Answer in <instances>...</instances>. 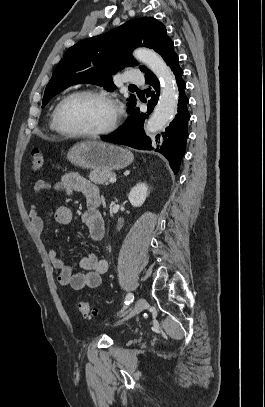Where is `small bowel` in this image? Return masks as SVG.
<instances>
[{"instance_id": "small-bowel-1", "label": "small bowel", "mask_w": 265, "mask_h": 407, "mask_svg": "<svg viewBox=\"0 0 265 407\" xmlns=\"http://www.w3.org/2000/svg\"><path fill=\"white\" fill-rule=\"evenodd\" d=\"M51 189L65 194L82 193L87 200V209L81 217L82 224L87 228L89 237L93 241L103 239L105 234L103 218L100 212L91 205L92 200L100 199L99 189L95 184L76 172H69L64 174L60 181L54 185L44 180H38L33 187L36 196H41L44 191ZM37 209V204L31 205L29 218L34 233L42 236L44 223ZM55 218L60 224H70L73 221V212L67 206H59L56 209ZM48 256L53 267L58 271V282L62 286H69L74 290L98 287L101 284L102 276L108 270L107 260L95 254H88L80 259L79 265L85 271L77 273L73 272L72 267L61 258L56 249L51 248Z\"/></svg>"}]
</instances>
